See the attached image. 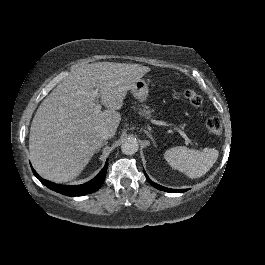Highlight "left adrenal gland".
<instances>
[{"label":"left adrenal gland","mask_w":265,"mask_h":265,"mask_svg":"<svg viewBox=\"0 0 265 265\" xmlns=\"http://www.w3.org/2000/svg\"><path fill=\"white\" fill-rule=\"evenodd\" d=\"M143 132L146 133V135L153 141L155 148H157V143L155 139L153 138V135L151 134V132L148 131L146 128L143 129Z\"/></svg>","instance_id":"a2214340"}]
</instances>
